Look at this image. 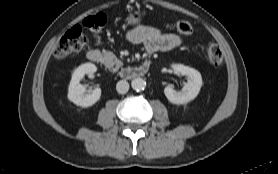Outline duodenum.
<instances>
[{
    "label": "duodenum",
    "mask_w": 278,
    "mask_h": 174,
    "mask_svg": "<svg viewBox=\"0 0 278 174\" xmlns=\"http://www.w3.org/2000/svg\"><path fill=\"white\" fill-rule=\"evenodd\" d=\"M87 58L93 63H99L101 61V53L98 50H89L87 52ZM150 67L149 61H144L138 66L123 68L120 72L121 77L126 79H133L145 75Z\"/></svg>",
    "instance_id": "obj_1"
}]
</instances>
